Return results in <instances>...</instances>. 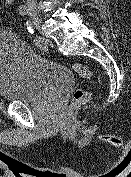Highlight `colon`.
Here are the masks:
<instances>
[{"label": "colon", "mask_w": 131, "mask_h": 177, "mask_svg": "<svg viewBox=\"0 0 131 177\" xmlns=\"http://www.w3.org/2000/svg\"><path fill=\"white\" fill-rule=\"evenodd\" d=\"M15 2V0H0V8L1 10L8 12L14 7ZM70 67L75 73L86 80H91L93 77L91 70L83 64L73 63L70 65ZM89 98L90 93L88 91L78 88L73 92L72 95L73 106L83 104L87 102Z\"/></svg>", "instance_id": "obj_1"}]
</instances>
